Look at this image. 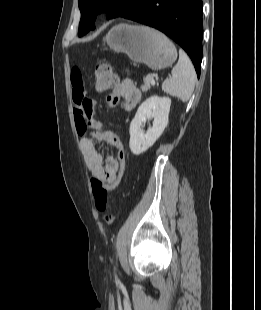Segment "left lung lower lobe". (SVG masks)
<instances>
[{
	"label": "left lung lower lobe",
	"instance_id": "1",
	"mask_svg": "<svg viewBox=\"0 0 261 310\" xmlns=\"http://www.w3.org/2000/svg\"><path fill=\"white\" fill-rule=\"evenodd\" d=\"M202 12V0H134L123 17L154 27L172 38L188 53L199 77L203 52Z\"/></svg>",
	"mask_w": 261,
	"mask_h": 310
}]
</instances>
